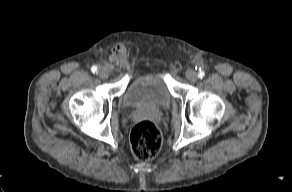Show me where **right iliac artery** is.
<instances>
[{"label":"right iliac artery","mask_w":292,"mask_h":192,"mask_svg":"<svg viewBox=\"0 0 292 192\" xmlns=\"http://www.w3.org/2000/svg\"><path fill=\"white\" fill-rule=\"evenodd\" d=\"M91 71H92L93 73H96V72H97V67H96V66H93V67L91 68Z\"/></svg>","instance_id":"82829eb1"}]
</instances>
